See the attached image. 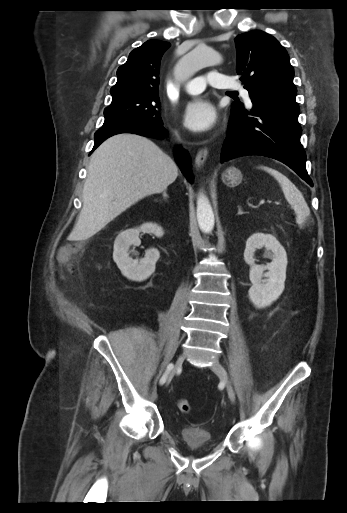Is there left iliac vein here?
Listing matches in <instances>:
<instances>
[{
    "label": "left iliac vein",
    "instance_id": "obj_1",
    "mask_svg": "<svg viewBox=\"0 0 347 513\" xmlns=\"http://www.w3.org/2000/svg\"><path fill=\"white\" fill-rule=\"evenodd\" d=\"M211 370L220 377L225 383L226 391L228 393V397L232 403H235L236 397L235 392L232 387L231 382L228 379V376L226 374L225 369L222 367V365L218 361H214L212 365L210 366Z\"/></svg>",
    "mask_w": 347,
    "mask_h": 513
}]
</instances>
